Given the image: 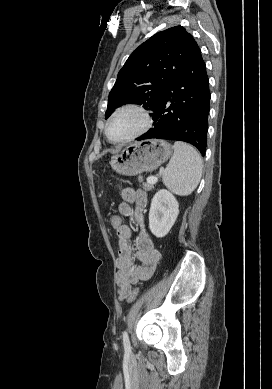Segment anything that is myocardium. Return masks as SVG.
Instances as JSON below:
<instances>
[{
	"instance_id": "obj_1",
	"label": "myocardium",
	"mask_w": 272,
	"mask_h": 389,
	"mask_svg": "<svg viewBox=\"0 0 272 389\" xmlns=\"http://www.w3.org/2000/svg\"><path fill=\"white\" fill-rule=\"evenodd\" d=\"M124 111H134V112L138 113L142 119L141 126L134 133L129 135L128 137L123 138V139H119V140H114L109 135V126H110L112 120L118 114H120ZM151 125H152V117H151L149 111L144 106H142L140 104L129 103V104H125V105L118 107L116 110H114L112 112V114L109 116V118L105 124V135H106L108 141L113 143V144L128 143V142L133 141V140L139 138L140 136L144 135L150 129Z\"/></svg>"
}]
</instances>
